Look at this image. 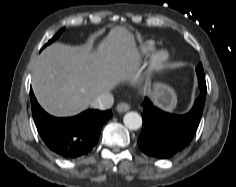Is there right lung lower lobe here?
<instances>
[{"mask_svg":"<svg viewBox=\"0 0 236 187\" xmlns=\"http://www.w3.org/2000/svg\"><path fill=\"white\" fill-rule=\"evenodd\" d=\"M30 99L33 119L42 140L65 159L87 155L97 144L102 126L112 116L110 110H86L75 117L56 118L41 108L32 90Z\"/></svg>","mask_w":236,"mask_h":187,"instance_id":"1","label":"right lung lower lobe"}]
</instances>
